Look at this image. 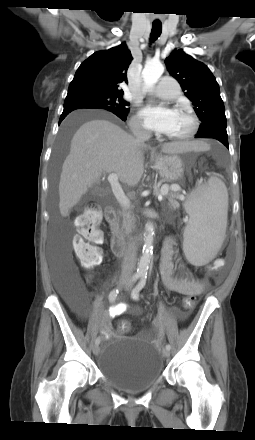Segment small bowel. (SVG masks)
I'll list each match as a JSON object with an SVG mask.
<instances>
[{
  "instance_id": "c3829d8e",
  "label": "small bowel",
  "mask_w": 255,
  "mask_h": 440,
  "mask_svg": "<svg viewBox=\"0 0 255 440\" xmlns=\"http://www.w3.org/2000/svg\"><path fill=\"white\" fill-rule=\"evenodd\" d=\"M174 239L167 237L163 243L161 250V264L160 273L163 284L171 291L185 296H199L205 290V285L197 280L189 278L188 276H174V264L172 258L174 255ZM128 310V306L124 303H119L116 306L110 308L109 318L118 316L125 313ZM133 312H137L138 309H132ZM106 333L109 332V327H106Z\"/></svg>"
}]
</instances>
